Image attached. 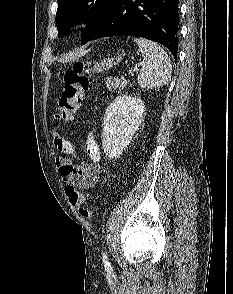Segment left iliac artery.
Returning <instances> with one entry per match:
<instances>
[{"mask_svg":"<svg viewBox=\"0 0 233 294\" xmlns=\"http://www.w3.org/2000/svg\"><path fill=\"white\" fill-rule=\"evenodd\" d=\"M102 259H103L104 267L105 268H110L111 265H110L109 258H108V255H107L106 251H103Z\"/></svg>","mask_w":233,"mask_h":294,"instance_id":"left-iliac-artery-1","label":"left iliac artery"}]
</instances>
